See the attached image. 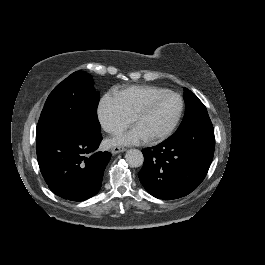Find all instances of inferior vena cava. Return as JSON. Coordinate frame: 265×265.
Masks as SVG:
<instances>
[{
    "instance_id": "602c4592",
    "label": "inferior vena cava",
    "mask_w": 265,
    "mask_h": 265,
    "mask_svg": "<svg viewBox=\"0 0 265 265\" xmlns=\"http://www.w3.org/2000/svg\"><path fill=\"white\" fill-rule=\"evenodd\" d=\"M120 129H121V127L117 124H114V123H109V124L105 125V130L109 133L121 131Z\"/></svg>"
}]
</instances>
